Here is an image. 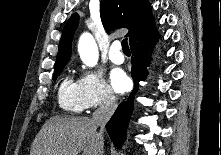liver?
I'll return each mask as SVG.
<instances>
[{
    "mask_svg": "<svg viewBox=\"0 0 221 155\" xmlns=\"http://www.w3.org/2000/svg\"><path fill=\"white\" fill-rule=\"evenodd\" d=\"M97 128L88 117L53 116L36 135L30 155H99Z\"/></svg>",
    "mask_w": 221,
    "mask_h": 155,
    "instance_id": "obj_1",
    "label": "liver"
}]
</instances>
